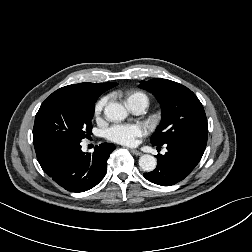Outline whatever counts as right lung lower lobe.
<instances>
[{
	"label": "right lung lower lobe",
	"mask_w": 252,
	"mask_h": 252,
	"mask_svg": "<svg viewBox=\"0 0 252 252\" xmlns=\"http://www.w3.org/2000/svg\"><path fill=\"white\" fill-rule=\"evenodd\" d=\"M38 162L44 172L68 191L84 192L105 176L107 160L114 144L103 143L93 154L81 151L80 142L47 141L34 144Z\"/></svg>",
	"instance_id": "obj_1"
}]
</instances>
